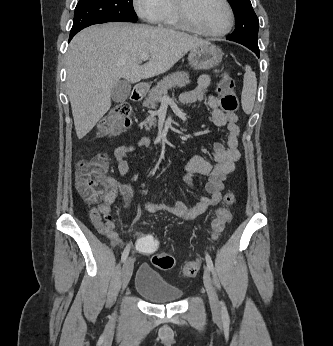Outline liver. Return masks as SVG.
Here are the masks:
<instances>
[{
	"mask_svg": "<svg viewBox=\"0 0 333 346\" xmlns=\"http://www.w3.org/2000/svg\"><path fill=\"white\" fill-rule=\"evenodd\" d=\"M207 43L171 29L129 23L79 32L66 53V87L77 137L88 134L110 109L111 90L121 78L137 83L163 74L188 51ZM143 55L149 61L140 65Z\"/></svg>",
	"mask_w": 333,
	"mask_h": 346,
	"instance_id": "1",
	"label": "liver"
}]
</instances>
